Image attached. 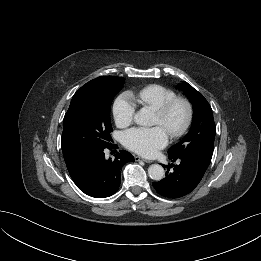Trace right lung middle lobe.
<instances>
[{
  "label": "right lung middle lobe",
  "instance_id": "dd1d6c3e",
  "mask_svg": "<svg viewBox=\"0 0 261 261\" xmlns=\"http://www.w3.org/2000/svg\"><path fill=\"white\" fill-rule=\"evenodd\" d=\"M124 78L80 88L64 116L61 147L64 158L107 147L113 131L110 108L114 96L123 88Z\"/></svg>",
  "mask_w": 261,
  "mask_h": 261
}]
</instances>
